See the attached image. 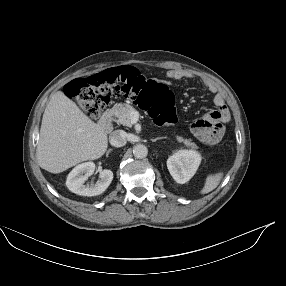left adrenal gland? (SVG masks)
Segmentation results:
<instances>
[{"label":"left adrenal gland","mask_w":286,"mask_h":286,"mask_svg":"<svg viewBox=\"0 0 286 286\" xmlns=\"http://www.w3.org/2000/svg\"><path fill=\"white\" fill-rule=\"evenodd\" d=\"M166 137H157V138H155V139H151V141L152 142H155V141H157V140H160V139H165Z\"/></svg>","instance_id":"a2214340"}]
</instances>
